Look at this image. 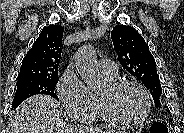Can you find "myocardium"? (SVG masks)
Segmentation results:
<instances>
[{"mask_svg":"<svg viewBox=\"0 0 184 133\" xmlns=\"http://www.w3.org/2000/svg\"><path fill=\"white\" fill-rule=\"evenodd\" d=\"M125 87H134L138 89L144 97L145 110L141 115V117L137 119H126V118L120 117L114 111L110 103L109 97L116 94L117 92H119ZM106 90H107V96L99 95V102H100L101 109L109 122L114 124L124 125V126H136L143 123L150 115L151 107H152L151 98L149 93L147 92V90L142 84L133 80H116L114 82L108 83L106 85Z\"/></svg>","mask_w":184,"mask_h":133,"instance_id":"obj_1","label":"myocardium"}]
</instances>
